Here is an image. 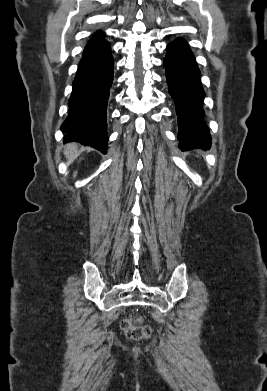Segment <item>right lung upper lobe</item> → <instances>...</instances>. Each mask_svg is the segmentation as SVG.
Returning a JSON list of instances; mask_svg holds the SVG:
<instances>
[{
    "label": "right lung upper lobe",
    "mask_w": 267,
    "mask_h": 391,
    "mask_svg": "<svg viewBox=\"0 0 267 391\" xmlns=\"http://www.w3.org/2000/svg\"><path fill=\"white\" fill-rule=\"evenodd\" d=\"M106 43L107 42L104 40V34L101 32H97L96 34H94L90 42L87 44L83 53L96 49Z\"/></svg>",
    "instance_id": "right-lung-upper-lobe-1"
}]
</instances>
